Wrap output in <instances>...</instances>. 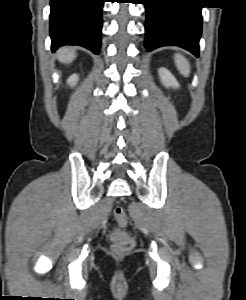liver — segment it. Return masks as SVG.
<instances>
[{"instance_id":"1","label":"liver","mask_w":246,"mask_h":300,"mask_svg":"<svg viewBox=\"0 0 246 300\" xmlns=\"http://www.w3.org/2000/svg\"><path fill=\"white\" fill-rule=\"evenodd\" d=\"M75 57L76 53L72 47H62L58 51V60L62 63H71Z\"/></svg>"}]
</instances>
